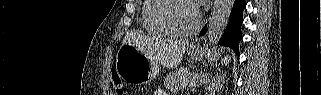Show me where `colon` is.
I'll list each match as a JSON object with an SVG mask.
<instances>
[{"label": "colon", "instance_id": "colon-1", "mask_svg": "<svg viewBox=\"0 0 321 95\" xmlns=\"http://www.w3.org/2000/svg\"><path fill=\"white\" fill-rule=\"evenodd\" d=\"M111 86L117 94L123 95L125 93V86L116 72L111 74Z\"/></svg>", "mask_w": 321, "mask_h": 95}]
</instances>
